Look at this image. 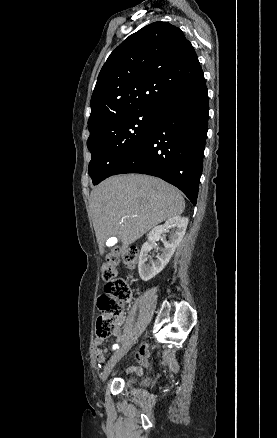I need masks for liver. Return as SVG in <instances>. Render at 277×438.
I'll return each mask as SVG.
<instances>
[{
    "label": "liver",
    "mask_w": 277,
    "mask_h": 438,
    "mask_svg": "<svg viewBox=\"0 0 277 438\" xmlns=\"http://www.w3.org/2000/svg\"><path fill=\"white\" fill-rule=\"evenodd\" d=\"M90 204L101 256L110 236H117L122 242L121 252H126L151 228L185 210V200L177 188L142 174H120L104 180L93 188Z\"/></svg>",
    "instance_id": "liver-1"
}]
</instances>
